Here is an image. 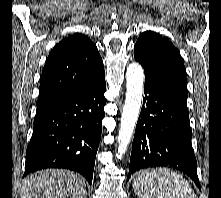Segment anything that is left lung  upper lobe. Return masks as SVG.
<instances>
[{"mask_svg":"<svg viewBox=\"0 0 221 198\" xmlns=\"http://www.w3.org/2000/svg\"><path fill=\"white\" fill-rule=\"evenodd\" d=\"M134 52L136 61L144 68L145 76L186 104L188 92L185 67L174 45L157 33L146 31L138 38Z\"/></svg>","mask_w":221,"mask_h":198,"instance_id":"1","label":"left lung upper lobe"}]
</instances>
